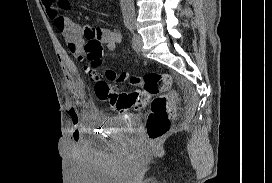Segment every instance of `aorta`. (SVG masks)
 <instances>
[{"label":"aorta","instance_id":"obj_1","mask_svg":"<svg viewBox=\"0 0 272 183\" xmlns=\"http://www.w3.org/2000/svg\"><path fill=\"white\" fill-rule=\"evenodd\" d=\"M122 15L124 23L134 24L135 23V8L133 0H120Z\"/></svg>","mask_w":272,"mask_h":183}]
</instances>
